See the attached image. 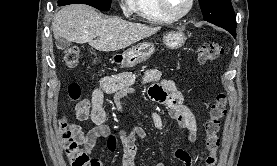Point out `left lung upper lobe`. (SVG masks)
Instances as JSON below:
<instances>
[{
  "instance_id": "obj_1",
  "label": "left lung upper lobe",
  "mask_w": 277,
  "mask_h": 166,
  "mask_svg": "<svg viewBox=\"0 0 277 166\" xmlns=\"http://www.w3.org/2000/svg\"><path fill=\"white\" fill-rule=\"evenodd\" d=\"M205 21L228 30L236 36V20L230 0H199Z\"/></svg>"
}]
</instances>
